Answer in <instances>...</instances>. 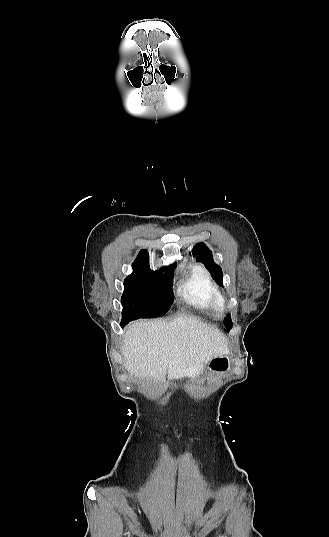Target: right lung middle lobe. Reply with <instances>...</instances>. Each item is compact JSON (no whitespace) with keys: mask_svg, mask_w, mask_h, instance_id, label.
Masks as SVG:
<instances>
[{"mask_svg":"<svg viewBox=\"0 0 329 537\" xmlns=\"http://www.w3.org/2000/svg\"><path fill=\"white\" fill-rule=\"evenodd\" d=\"M172 274L173 269H134L124 280L122 327L131 320L159 317L168 311L173 299Z\"/></svg>","mask_w":329,"mask_h":537,"instance_id":"1","label":"right lung middle lobe"}]
</instances>
